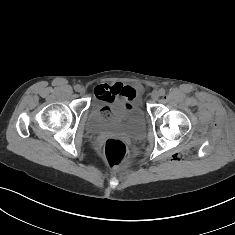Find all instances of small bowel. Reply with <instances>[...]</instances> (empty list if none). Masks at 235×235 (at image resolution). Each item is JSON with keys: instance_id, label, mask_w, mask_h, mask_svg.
Segmentation results:
<instances>
[{"instance_id": "small-bowel-1", "label": "small bowel", "mask_w": 235, "mask_h": 235, "mask_svg": "<svg viewBox=\"0 0 235 235\" xmlns=\"http://www.w3.org/2000/svg\"><path fill=\"white\" fill-rule=\"evenodd\" d=\"M94 94L98 100L107 103H114L119 99L131 102L136 99L138 90L130 86H124L121 83L101 84L95 87Z\"/></svg>"}]
</instances>
